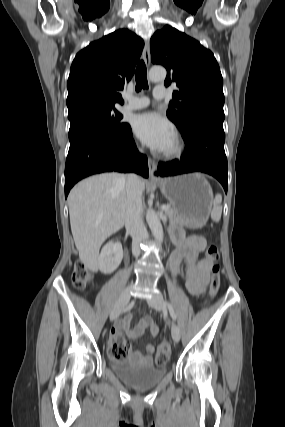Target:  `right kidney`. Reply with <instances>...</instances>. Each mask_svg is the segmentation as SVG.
<instances>
[{"mask_svg": "<svg viewBox=\"0 0 285 427\" xmlns=\"http://www.w3.org/2000/svg\"><path fill=\"white\" fill-rule=\"evenodd\" d=\"M123 249L120 243H107L98 257V267L103 274H111L120 265Z\"/></svg>", "mask_w": 285, "mask_h": 427, "instance_id": "obj_1", "label": "right kidney"}]
</instances>
